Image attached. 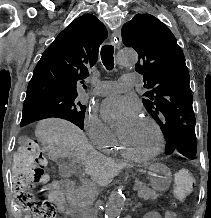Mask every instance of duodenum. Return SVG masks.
Wrapping results in <instances>:
<instances>
[{
  "instance_id": "obj_1",
  "label": "duodenum",
  "mask_w": 211,
  "mask_h": 218,
  "mask_svg": "<svg viewBox=\"0 0 211 218\" xmlns=\"http://www.w3.org/2000/svg\"><path fill=\"white\" fill-rule=\"evenodd\" d=\"M60 189L62 192L68 197L71 198L73 191L76 187V182L73 179H64L59 182ZM70 211H75V207L73 205H69Z\"/></svg>"
}]
</instances>
